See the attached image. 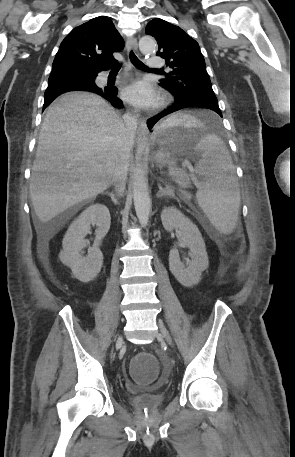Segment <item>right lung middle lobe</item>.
Returning <instances> with one entry per match:
<instances>
[{"label":"right lung middle lobe","mask_w":295,"mask_h":457,"mask_svg":"<svg viewBox=\"0 0 295 457\" xmlns=\"http://www.w3.org/2000/svg\"><path fill=\"white\" fill-rule=\"evenodd\" d=\"M92 77L93 76H91V77H78V78H76V80L92 81L91 80ZM63 92H64V90H47L46 89L44 97L47 98V97H50L52 95L60 94V93H63Z\"/></svg>","instance_id":"right-lung-middle-lobe-1"}]
</instances>
